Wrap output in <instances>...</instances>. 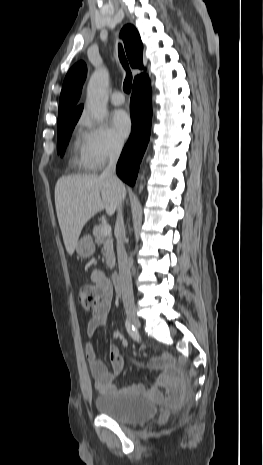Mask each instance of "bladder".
I'll return each instance as SVG.
<instances>
[{"label":"bladder","mask_w":263,"mask_h":465,"mask_svg":"<svg viewBox=\"0 0 263 465\" xmlns=\"http://www.w3.org/2000/svg\"><path fill=\"white\" fill-rule=\"evenodd\" d=\"M96 409L118 423L138 424L146 422L157 413L156 406L133 392H107L95 400Z\"/></svg>","instance_id":"1"}]
</instances>
